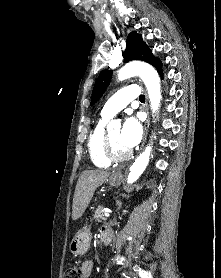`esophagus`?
<instances>
[{
  "label": "esophagus",
  "instance_id": "1",
  "mask_svg": "<svg viewBox=\"0 0 221 278\" xmlns=\"http://www.w3.org/2000/svg\"><path fill=\"white\" fill-rule=\"evenodd\" d=\"M145 110L147 113V119L144 123V136H143V141H142V145L141 148L144 146L145 142H146V138H147V134H148V128H149V123H150V115H149V110H148V101L146 100L145 103ZM117 175H122L121 172H117Z\"/></svg>",
  "mask_w": 221,
  "mask_h": 278
}]
</instances>
